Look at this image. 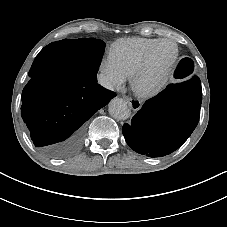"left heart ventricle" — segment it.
I'll use <instances>...</instances> for the list:
<instances>
[{
	"instance_id": "left-heart-ventricle-1",
	"label": "left heart ventricle",
	"mask_w": 227,
	"mask_h": 227,
	"mask_svg": "<svg viewBox=\"0 0 227 227\" xmlns=\"http://www.w3.org/2000/svg\"><path fill=\"white\" fill-rule=\"evenodd\" d=\"M175 55V46L172 43H163L156 50L153 60L138 78L142 86H147L156 81L166 69Z\"/></svg>"
}]
</instances>
